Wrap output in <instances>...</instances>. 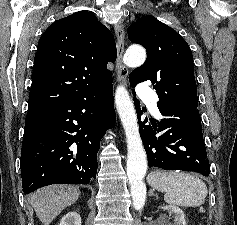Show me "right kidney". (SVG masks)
<instances>
[{
    "mask_svg": "<svg viewBox=\"0 0 237 225\" xmlns=\"http://www.w3.org/2000/svg\"><path fill=\"white\" fill-rule=\"evenodd\" d=\"M58 225H81V217L75 211L68 212L63 216Z\"/></svg>",
    "mask_w": 237,
    "mask_h": 225,
    "instance_id": "1",
    "label": "right kidney"
}]
</instances>
